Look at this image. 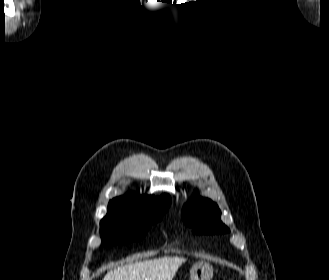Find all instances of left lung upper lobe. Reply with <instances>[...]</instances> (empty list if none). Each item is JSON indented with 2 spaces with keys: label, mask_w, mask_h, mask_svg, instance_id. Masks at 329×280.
I'll return each instance as SVG.
<instances>
[{
  "label": "left lung upper lobe",
  "mask_w": 329,
  "mask_h": 280,
  "mask_svg": "<svg viewBox=\"0 0 329 280\" xmlns=\"http://www.w3.org/2000/svg\"><path fill=\"white\" fill-rule=\"evenodd\" d=\"M218 206L209 199L193 197L183 208L184 223L194 232L205 234H221L229 232L220 219Z\"/></svg>",
  "instance_id": "5c2ea615"
}]
</instances>
